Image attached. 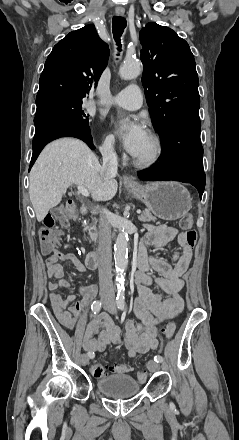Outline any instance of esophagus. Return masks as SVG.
Instances as JSON below:
<instances>
[{"mask_svg":"<svg viewBox=\"0 0 239 440\" xmlns=\"http://www.w3.org/2000/svg\"><path fill=\"white\" fill-rule=\"evenodd\" d=\"M116 14L119 16H122V15H124V11H116ZM123 181H124V183H132V184L138 185L136 180L133 177H129L128 175L123 176Z\"/></svg>","mask_w":239,"mask_h":440,"instance_id":"34e87169","label":"esophagus"}]
</instances>
